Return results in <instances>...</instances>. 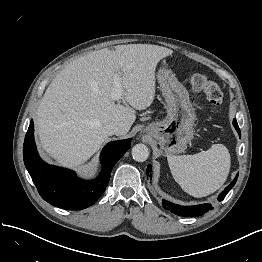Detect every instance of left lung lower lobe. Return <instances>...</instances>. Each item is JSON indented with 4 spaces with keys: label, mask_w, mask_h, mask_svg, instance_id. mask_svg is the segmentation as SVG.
<instances>
[{
    "label": "left lung lower lobe",
    "mask_w": 262,
    "mask_h": 262,
    "mask_svg": "<svg viewBox=\"0 0 262 262\" xmlns=\"http://www.w3.org/2000/svg\"><path fill=\"white\" fill-rule=\"evenodd\" d=\"M233 125L238 132L239 136H241L239 126L237 124L236 119L233 120ZM147 176L152 178L151 175V165H148L147 167ZM238 176V174H237ZM237 176L236 178L219 194L218 196V201H221L224 199V197L227 195V193L232 189V187L235 185L237 181ZM163 207L166 210L171 211L172 213L178 215V216H185V217H196L200 216L207 211L212 209V205L205 203V204H200V205H194V206H181L174 204L170 201H167L165 199L162 200Z\"/></svg>",
    "instance_id": "obj_1"
}]
</instances>
